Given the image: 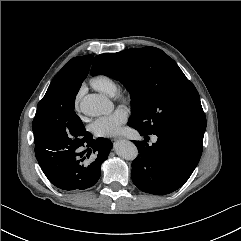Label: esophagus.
<instances>
[{"label":"esophagus","mask_w":241,"mask_h":241,"mask_svg":"<svg viewBox=\"0 0 241 241\" xmlns=\"http://www.w3.org/2000/svg\"><path fill=\"white\" fill-rule=\"evenodd\" d=\"M121 139H123V138L122 137H115L113 140L118 141V140H121Z\"/></svg>","instance_id":"1"}]
</instances>
